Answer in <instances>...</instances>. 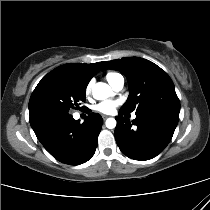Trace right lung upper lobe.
<instances>
[{
	"label": "right lung upper lobe",
	"mask_w": 210,
	"mask_h": 210,
	"mask_svg": "<svg viewBox=\"0 0 210 210\" xmlns=\"http://www.w3.org/2000/svg\"><path fill=\"white\" fill-rule=\"evenodd\" d=\"M102 65L103 62H98L94 64H79V63L65 64L52 70L50 73L44 76L39 83H42L43 81L52 77H65L73 79L87 86L91 78L95 74H97Z\"/></svg>",
	"instance_id": "cb5924a9"
}]
</instances>
